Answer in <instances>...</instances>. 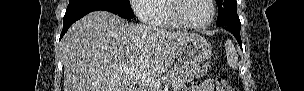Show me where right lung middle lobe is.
<instances>
[{
  "instance_id": "obj_1",
  "label": "right lung middle lobe",
  "mask_w": 304,
  "mask_h": 91,
  "mask_svg": "<svg viewBox=\"0 0 304 91\" xmlns=\"http://www.w3.org/2000/svg\"><path fill=\"white\" fill-rule=\"evenodd\" d=\"M109 2L114 7L116 13L125 19H132L134 17V13L131 9L129 0H104Z\"/></svg>"
}]
</instances>
